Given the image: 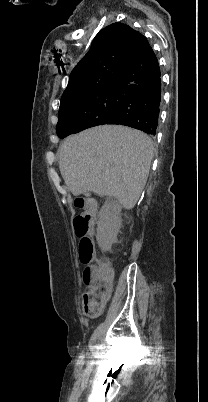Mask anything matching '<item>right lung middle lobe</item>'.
<instances>
[{
	"label": "right lung middle lobe",
	"mask_w": 208,
	"mask_h": 402,
	"mask_svg": "<svg viewBox=\"0 0 208 402\" xmlns=\"http://www.w3.org/2000/svg\"><path fill=\"white\" fill-rule=\"evenodd\" d=\"M119 98L112 80L62 96L57 130L59 123L64 121L112 112L116 109Z\"/></svg>",
	"instance_id": "right-lung-middle-lobe-1"
}]
</instances>
